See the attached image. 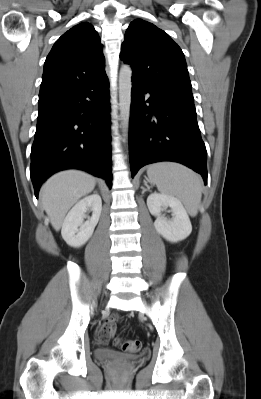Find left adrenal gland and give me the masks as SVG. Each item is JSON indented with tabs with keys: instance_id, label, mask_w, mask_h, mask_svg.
<instances>
[{
	"instance_id": "left-adrenal-gland-1",
	"label": "left adrenal gland",
	"mask_w": 261,
	"mask_h": 399,
	"mask_svg": "<svg viewBox=\"0 0 261 399\" xmlns=\"http://www.w3.org/2000/svg\"><path fill=\"white\" fill-rule=\"evenodd\" d=\"M144 185H145L147 188H145V187L142 186V187H141L142 190H143L142 193H144L145 191H149V190H150V187H149V185L147 184L146 181L144 182Z\"/></svg>"
}]
</instances>
